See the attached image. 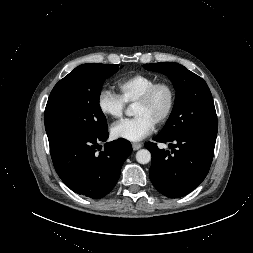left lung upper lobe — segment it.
<instances>
[{"label":"left lung upper lobe","mask_w":253,"mask_h":253,"mask_svg":"<svg viewBox=\"0 0 253 253\" xmlns=\"http://www.w3.org/2000/svg\"><path fill=\"white\" fill-rule=\"evenodd\" d=\"M143 67L168 76L176 90L173 111L159 136L173 138L188 133L217 136L213 98L201 77L174 62L144 64Z\"/></svg>","instance_id":"obj_1"}]
</instances>
